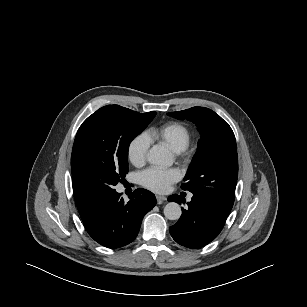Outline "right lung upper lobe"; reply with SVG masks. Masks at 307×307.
Listing matches in <instances>:
<instances>
[{
	"instance_id": "right-lung-upper-lobe-1",
	"label": "right lung upper lobe",
	"mask_w": 307,
	"mask_h": 307,
	"mask_svg": "<svg viewBox=\"0 0 307 307\" xmlns=\"http://www.w3.org/2000/svg\"><path fill=\"white\" fill-rule=\"evenodd\" d=\"M75 201H76V205H77L81 218L84 217L87 214V212L96 204V203L95 204H83L76 199Z\"/></svg>"
}]
</instances>
